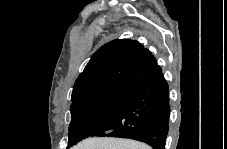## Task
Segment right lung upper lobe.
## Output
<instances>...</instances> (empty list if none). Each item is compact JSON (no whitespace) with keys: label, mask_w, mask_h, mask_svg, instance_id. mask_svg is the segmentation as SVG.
Wrapping results in <instances>:
<instances>
[{"label":"right lung upper lobe","mask_w":227,"mask_h":149,"mask_svg":"<svg viewBox=\"0 0 227 149\" xmlns=\"http://www.w3.org/2000/svg\"><path fill=\"white\" fill-rule=\"evenodd\" d=\"M161 71L155 57L139 42L114 40L93 54L74 84L71 101L110 84L135 88Z\"/></svg>","instance_id":"1"}]
</instances>
